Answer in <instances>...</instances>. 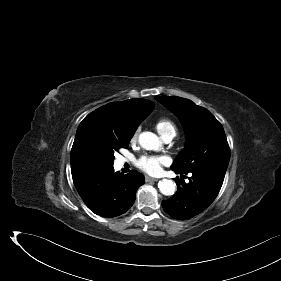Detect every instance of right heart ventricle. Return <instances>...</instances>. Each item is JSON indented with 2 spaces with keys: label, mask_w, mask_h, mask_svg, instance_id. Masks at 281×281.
<instances>
[{
  "label": "right heart ventricle",
  "mask_w": 281,
  "mask_h": 281,
  "mask_svg": "<svg viewBox=\"0 0 281 281\" xmlns=\"http://www.w3.org/2000/svg\"><path fill=\"white\" fill-rule=\"evenodd\" d=\"M155 127L158 133L163 137L167 136H175L176 134V126L175 124L168 118H160L156 121Z\"/></svg>",
  "instance_id": "e07e8e85"
}]
</instances>
